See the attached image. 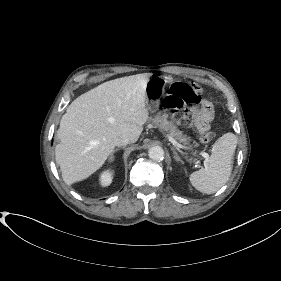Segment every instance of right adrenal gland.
<instances>
[{"label": "right adrenal gland", "instance_id": "right-adrenal-gland-1", "mask_svg": "<svg viewBox=\"0 0 281 281\" xmlns=\"http://www.w3.org/2000/svg\"><path fill=\"white\" fill-rule=\"evenodd\" d=\"M119 149H115L113 150V152L111 153L110 157H109V162H113L115 157H114V153L117 152Z\"/></svg>", "mask_w": 281, "mask_h": 281}]
</instances>
